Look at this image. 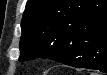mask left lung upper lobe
I'll return each mask as SVG.
<instances>
[{
	"instance_id": "1",
	"label": "left lung upper lobe",
	"mask_w": 107,
	"mask_h": 75,
	"mask_svg": "<svg viewBox=\"0 0 107 75\" xmlns=\"http://www.w3.org/2000/svg\"><path fill=\"white\" fill-rule=\"evenodd\" d=\"M96 4L94 0H28L21 22L19 60L51 58L52 50L70 47L79 20Z\"/></svg>"
}]
</instances>
